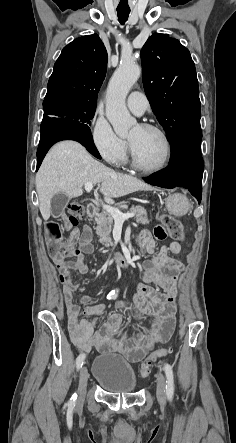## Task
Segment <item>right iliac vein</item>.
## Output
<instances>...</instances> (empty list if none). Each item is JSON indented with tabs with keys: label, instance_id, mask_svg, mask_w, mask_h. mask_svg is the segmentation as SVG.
Returning <instances> with one entry per match:
<instances>
[{
	"label": "right iliac vein",
	"instance_id": "right-iliac-vein-1",
	"mask_svg": "<svg viewBox=\"0 0 236 443\" xmlns=\"http://www.w3.org/2000/svg\"><path fill=\"white\" fill-rule=\"evenodd\" d=\"M88 370L85 366L80 369L79 373V385H78V395L83 397L86 393L87 383H88Z\"/></svg>",
	"mask_w": 236,
	"mask_h": 443
}]
</instances>
